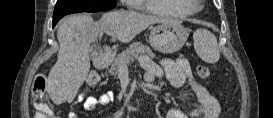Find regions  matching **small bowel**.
Segmentation results:
<instances>
[{"mask_svg":"<svg viewBox=\"0 0 273 118\" xmlns=\"http://www.w3.org/2000/svg\"><path fill=\"white\" fill-rule=\"evenodd\" d=\"M165 76L170 84L175 88H182L187 85L196 97L197 105H189L191 117L193 118H218L220 113V104L217 99L211 95L208 90L196 81L192 74L190 64L185 59L164 60L161 65H152L149 67L145 80L152 82L155 78ZM113 100L111 93H103L97 96L82 97L78 101H83V108L86 111H93L102 105H107ZM69 118H77L75 111H70ZM165 118H187L185 113L176 107L168 109Z\"/></svg>","mask_w":273,"mask_h":118,"instance_id":"obj_1","label":"small bowel"}]
</instances>
